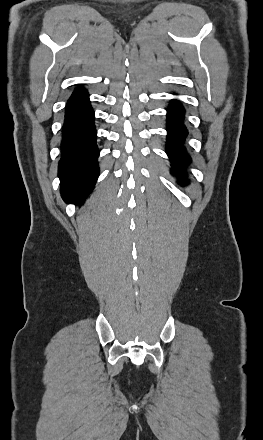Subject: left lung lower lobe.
<instances>
[{"mask_svg": "<svg viewBox=\"0 0 263 440\" xmlns=\"http://www.w3.org/2000/svg\"><path fill=\"white\" fill-rule=\"evenodd\" d=\"M168 136H167V154L175 170H183L190 161L186 154L183 144L187 136V130L183 125V107L176 100H172L167 110ZM179 182H186L185 178H180Z\"/></svg>", "mask_w": 263, "mask_h": 440, "instance_id": "left-lung-lower-lobe-1", "label": "left lung lower lobe"}]
</instances>
